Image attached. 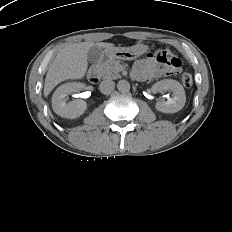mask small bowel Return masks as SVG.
<instances>
[{"label": "small bowel", "instance_id": "c3829d8e", "mask_svg": "<svg viewBox=\"0 0 232 232\" xmlns=\"http://www.w3.org/2000/svg\"><path fill=\"white\" fill-rule=\"evenodd\" d=\"M127 76L140 84H145L147 81L156 83L159 76L173 79L176 76V71L165 65H155L152 58H144L135 62L134 68L127 71Z\"/></svg>", "mask_w": 232, "mask_h": 232}]
</instances>
